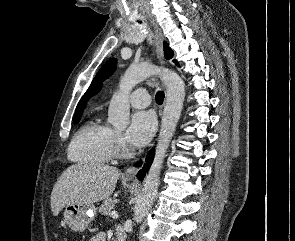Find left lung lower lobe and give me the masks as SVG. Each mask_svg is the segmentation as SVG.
Wrapping results in <instances>:
<instances>
[{"instance_id": "0a47b994", "label": "left lung lower lobe", "mask_w": 295, "mask_h": 241, "mask_svg": "<svg viewBox=\"0 0 295 241\" xmlns=\"http://www.w3.org/2000/svg\"><path fill=\"white\" fill-rule=\"evenodd\" d=\"M153 157H154V153H153V150H151L146 158V164L144 165V167L138 172L137 174V177L140 179V180H143L144 176H145V172L149 169L151 163H152V160H153ZM142 164V162H138L137 165L140 166Z\"/></svg>"}]
</instances>
